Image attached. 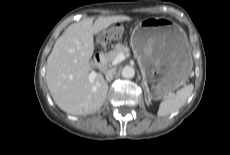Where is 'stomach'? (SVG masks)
Masks as SVG:
<instances>
[{
	"label": "stomach",
	"mask_w": 230,
	"mask_h": 155,
	"mask_svg": "<svg viewBox=\"0 0 230 155\" xmlns=\"http://www.w3.org/2000/svg\"><path fill=\"white\" fill-rule=\"evenodd\" d=\"M148 99H165L184 85L193 60L184 31L167 18L154 17L138 22L131 34Z\"/></svg>",
	"instance_id": "obj_1"
}]
</instances>
